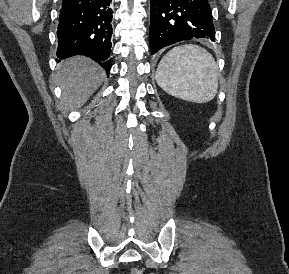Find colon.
I'll return each mask as SVG.
<instances>
[{"label":"colon","mask_w":289,"mask_h":274,"mask_svg":"<svg viewBox=\"0 0 289 274\" xmlns=\"http://www.w3.org/2000/svg\"><path fill=\"white\" fill-rule=\"evenodd\" d=\"M143 269L141 267H134L131 269V273L130 274H142Z\"/></svg>","instance_id":"1"}]
</instances>
